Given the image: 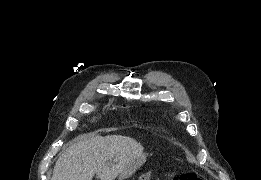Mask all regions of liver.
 Wrapping results in <instances>:
<instances>
[{"instance_id": "liver-1", "label": "liver", "mask_w": 261, "mask_h": 180, "mask_svg": "<svg viewBox=\"0 0 261 180\" xmlns=\"http://www.w3.org/2000/svg\"><path fill=\"white\" fill-rule=\"evenodd\" d=\"M143 146L127 136H94L71 144L57 160L51 180H115Z\"/></svg>"}]
</instances>
